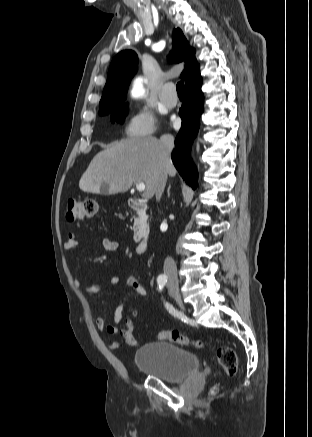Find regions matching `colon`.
<instances>
[{"mask_svg":"<svg viewBox=\"0 0 312 437\" xmlns=\"http://www.w3.org/2000/svg\"><path fill=\"white\" fill-rule=\"evenodd\" d=\"M101 206L94 199H69L67 204L66 218L69 222L90 219L100 212ZM123 340L128 346H137L138 340L133 333L134 318L126 317L124 320ZM160 340H168L180 345H192L195 348H202L200 340L190 339L177 330H165L158 333ZM216 358L227 375L233 376L238 370V360L235 351L228 346L218 347ZM216 391V390H214Z\"/></svg>","mask_w":312,"mask_h":437,"instance_id":"5ec220e1","label":"colon"}]
</instances>
